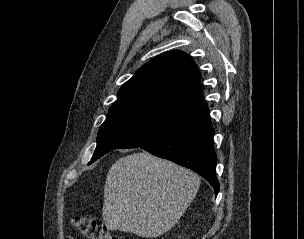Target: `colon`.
<instances>
[{
	"label": "colon",
	"mask_w": 304,
	"mask_h": 239,
	"mask_svg": "<svg viewBox=\"0 0 304 239\" xmlns=\"http://www.w3.org/2000/svg\"><path fill=\"white\" fill-rule=\"evenodd\" d=\"M76 230L87 239H119L101 221L88 215H77L72 219Z\"/></svg>",
	"instance_id": "1"
}]
</instances>
